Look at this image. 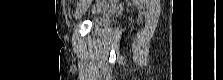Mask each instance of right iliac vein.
I'll return each instance as SVG.
<instances>
[{
  "label": "right iliac vein",
  "mask_w": 223,
  "mask_h": 80,
  "mask_svg": "<svg viewBox=\"0 0 223 80\" xmlns=\"http://www.w3.org/2000/svg\"><path fill=\"white\" fill-rule=\"evenodd\" d=\"M89 5H90L89 2H83L82 4H80L79 7L76 10L75 18L76 19L80 18L86 12Z\"/></svg>",
  "instance_id": "right-iliac-vein-1"
}]
</instances>
